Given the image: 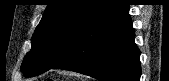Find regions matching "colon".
<instances>
[{"label":"colon","mask_w":169,"mask_h":81,"mask_svg":"<svg viewBox=\"0 0 169 81\" xmlns=\"http://www.w3.org/2000/svg\"><path fill=\"white\" fill-rule=\"evenodd\" d=\"M46 81H54L53 78H48Z\"/></svg>","instance_id":"5ec220e1"}]
</instances>
